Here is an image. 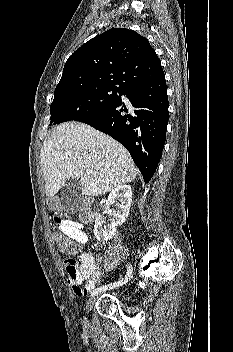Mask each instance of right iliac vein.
<instances>
[{"instance_id": "63e3f726", "label": "right iliac vein", "mask_w": 233, "mask_h": 352, "mask_svg": "<svg viewBox=\"0 0 233 352\" xmlns=\"http://www.w3.org/2000/svg\"><path fill=\"white\" fill-rule=\"evenodd\" d=\"M98 294H99V293H98ZM98 294L92 296V298L88 301V303H87V305H86V312H89V311L92 309V307H93V305L95 304V301H96V299H97V297H98ZM83 322H84V323L87 322L86 317L84 318Z\"/></svg>"}]
</instances>
